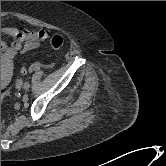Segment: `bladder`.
<instances>
[{
    "label": "bladder",
    "mask_w": 166,
    "mask_h": 166,
    "mask_svg": "<svg viewBox=\"0 0 166 166\" xmlns=\"http://www.w3.org/2000/svg\"><path fill=\"white\" fill-rule=\"evenodd\" d=\"M1 86H4V82H3V80L1 79Z\"/></svg>",
    "instance_id": "31cf9c89"
}]
</instances>
